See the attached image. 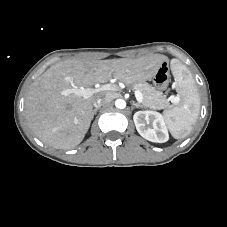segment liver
<instances>
[{
  "instance_id": "liver-1",
  "label": "liver",
  "mask_w": 227,
  "mask_h": 227,
  "mask_svg": "<svg viewBox=\"0 0 227 227\" xmlns=\"http://www.w3.org/2000/svg\"><path fill=\"white\" fill-rule=\"evenodd\" d=\"M151 54L136 59H67L52 65L39 76L25 94L24 115L28 128L44 144L69 150L79 145L93 119V103L107 92L84 99L73 87H91L111 77L126 84L151 80L166 60Z\"/></svg>"
}]
</instances>
